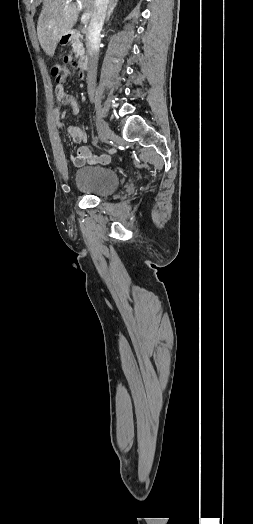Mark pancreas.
Wrapping results in <instances>:
<instances>
[{
  "label": "pancreas",
  "mask_w": 253,
  "mask_h": 524,
  "mask_svg": "<svg viewBox=\"0 0 253 524\" xmlns=\"http://www.w3.org/2000/svg\"><path fill=\"white\" fill-rule=\"evenodd\" d=\"M72 47L73 52L76 54L77 57H83L84 56V47L82 41L78 37H74L72 41Z\"/></svg>",
  "instance_id": "1"
}]
</instances>
